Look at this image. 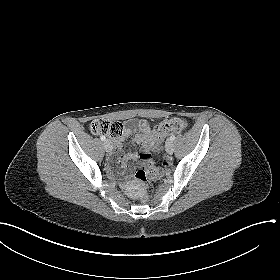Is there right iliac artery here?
I'll list each match as a JSON object with an SVG mask.
<instances>
[{
	"mask_svg": "<svg viewBox=\"0 0 280 280\" xmlns=\"http://www.w3.org/2000/svg\"><path fill=\"white\" fill-rule=\"evenodd\" d=\"M100 139L102 140V141H105L106 140V138H105V136H100Z\"/></svg>",
	"mask_w": 280,
	"mask_h": 280,
	"instance_id": "82829eb1",
	"label": "right iliac artery"
}]
</instances>
